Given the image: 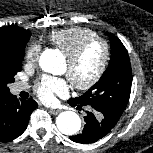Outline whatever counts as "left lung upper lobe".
Returning a JSON list of instances; mask_svg holds the SVG:
<instances>
[{"label": "left lung upper lobe", "instance_id": "obj_1", "mask_svg": "<svg viewBox=\"0 0 153 153\" xmlns=\"http://www.w3.org/2000/svg\"><path fill=\"white\" fill-rule=\"evenodd\" d=\"M107 35L111 43L108 68L94 86L72 100L117 123L130 97L132 71L127 50L122 42L111 33Z\"/></svg>", "mask_w": 153, "mask_h": 153}]
</instances>
